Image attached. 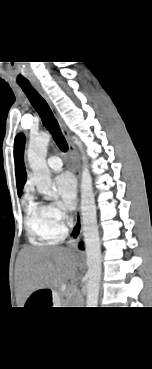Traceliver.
<instances>
[{
  "instance_id": "6515ba94",
  "label": "liver",
  "mask_w": 152,
  "mask_h": 369,
  "mask_svg": "<svg viewBox=\"0 0 152 369\" xmlns=\"http://www.w3.org/2000/svg\"><path fill=\"white\" fill-rule=\"evenodd\" d=\"M19 286L23 293L58 287L76 274L75 256L65 248L26 247L20 254Z\"/></svg>"
}]
</instances>
